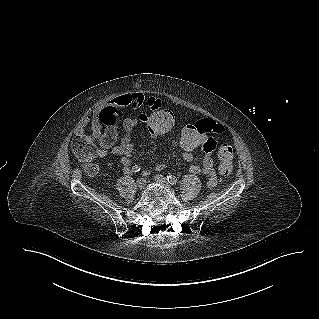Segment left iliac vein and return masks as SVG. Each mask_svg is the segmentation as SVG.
<instances>
[{
  "label": "left iliac vein",
  "instance_id": "obj_1",
  "mask_svg": "<svg viewBox=\"0 0 319 319\" xmlns=\"http://www.w3.org/2000/svg\"><path fill=\"white\" fill-rule=\"evenodd\" d=\"M154 180H155L157 183L162 184V185H164V186H166V187L169 186V184H168L166 178H164L162 175H156V176L154 177Z\"/></svg>",
  "mask_w": 319,
  "mask_h": 319
}]
</instances>
